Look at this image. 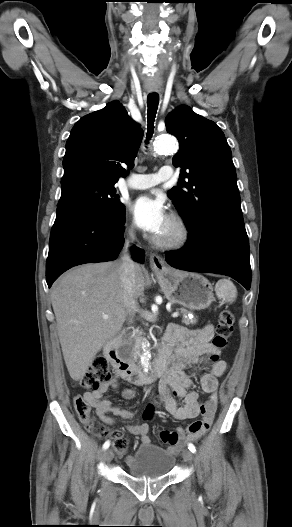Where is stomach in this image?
Segmentation results:
<instances>
[{
	"mask_svg": "<svg viewBox=\"0 0 292 527\" xmlns=\"http://www.w3.org/2000/svg\"><path fill=\"white\" fill-rule=\"evenodd\" d=\"M166 298L191 310L208 308L214 301L213 286L204 276L166 268L156 272Z\"/></svg>",
	"mask_w": 292,
	"mask_h": 527,
	"instance_id": "1",
	"label": "stomach"
}]
</instances>
